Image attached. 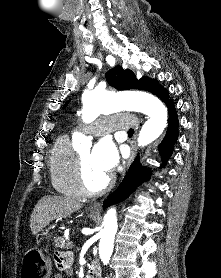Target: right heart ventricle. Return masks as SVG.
I'll return each mask as SVG.
<instances>
[{
  "label": "right heart ventricle",
  "mask_w": 221,
  "mask_h": 278,
  "mask_svg": "<svg viewBox=\"0 0 221 278\" xmlns=\"http://www.w3.org/2000/svg\"><path fill=\"white\" fill-rule=\"evenodd\" d=\"M75 157L67 136L59 137L53 144L49 154V174L54 189L69 198L80 199L82 193L75 182Z\"/></svg>",
  "instance_id": "e07e8e85"
}]
</instances>
